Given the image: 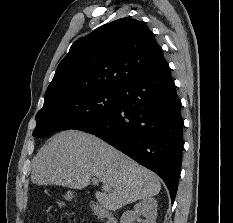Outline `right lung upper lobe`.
<instances>
[{
  "label": "right lung upper lobe",
  "mask_w": 233,
  "mask_h": 223,
  "mask_svg": "<svg viewBox=\"0 0 233 223\" xmlns=\"http://www.w3.org/2000/svg\"><path fill=\"white\" fill-rule=\"evenodd\" d=\"M166 64L145 24L118 19L73 43L46 90L44 104L92 88L119 89Z\"/></svg>",
  "instance_id": "right-lung-upper-lobe-1"
}]
</instances>
